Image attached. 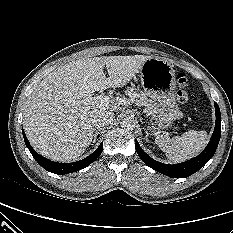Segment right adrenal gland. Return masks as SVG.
<instances>
[{
    "mask_svg": "<svg viewBox=\"0 0 233 233\" xmlns=\"http://www.w3.org/2000/svg\"><path fill=\"white\" fill-rule=\"evenodd\" d=\"M99 132H100V129H97V130L94 132L92 143H95V142H96V138H97Z\"/></svg>",
    "mask_w": 233,
    "mask_h": 233,
    "instance_id": "1",
    "label": "right adrenal gland"
}]
</instances>
